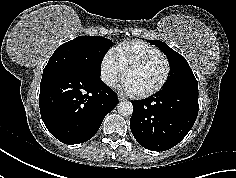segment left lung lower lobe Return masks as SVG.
<instances>
[{"label":"left lung lower lobe","mask_w":236,"mask_h":178,"mask_svg":"<svg viewBox=\"0 0 236 178\" xmlns=\"http://www.w3.org/2000/svg\"><path fill=\"white\" fill-rule=\"evenodd\" d=\"M130 129L137 142L151 151L177 145L198 114V89H162L144 100L131 101Z\"/></svg>","instance_id":"obj_1"}]
</instances>
